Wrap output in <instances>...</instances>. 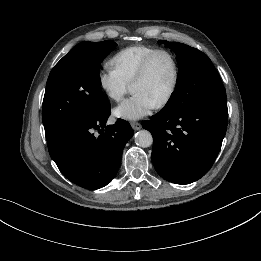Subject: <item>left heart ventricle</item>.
Instances as JSON below:
<instances>
[{
    "instance_id": "1",
    "label": "left heart ventricle",
    "mask_w": 261,
    "mask_h": 261,
    "mask_svg": "<svg viewBox=\"0 0 261 261\" xmlns=\"http://www.w3.org/2000/svg\"><path fill=\"white\" fill-rule=\"evenodd\" d=\"M173 80V66L166 55L157 56L147 76L132 86L134 93H143L156 104L168 93Z\"/></svg>"
}]
</instances>
